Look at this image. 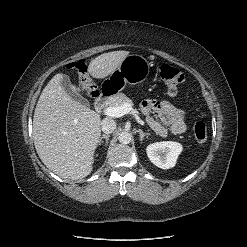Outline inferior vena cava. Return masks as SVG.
Returning a JSON list of instances; mask_svg holds the SVG:
<instances>
[{"label": "inferior vena cava", "mask_w": 247, "mask_h": 247, "mask_svg": "<svg viewBox=\"0 0 247 247\" xmlns=\"http://www.w3.org/2000/svg\"><path fill=\"white\" fill-rule=\"evenodd\" d=\"M101 128L105 134H110L116 129V123L111 118H105L101 122Z\"/></svg>", "instance_id": "1"}]
</instances>
